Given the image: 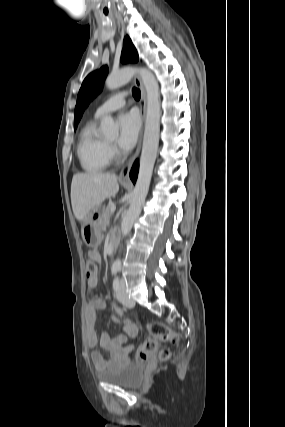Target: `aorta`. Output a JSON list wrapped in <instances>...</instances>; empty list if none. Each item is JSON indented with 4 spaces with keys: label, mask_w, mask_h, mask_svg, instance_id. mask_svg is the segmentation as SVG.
<instances>
[{
    "label": "aorta",
    "mask_w": 285,
    "mask_h": 427,
    "mask_svg": "<svg viewBox=\"0 0 285 427\" xmlns=\"http://www.w3.org/2000/svg\"><path fill=\"white\" fill-rule=\"evenodd\" d=\"M136 73L141 76L146 89L147 111L138 178L133 190L129 209L121 223V232L123 236H127L131 231L135 220L141 213L142 206L148 194L159 145L161 115L160 92L155 76L151 71L145 68H123L116 73H111L105 81L107 88L109 90H114L127 84ZM101 132L108 138H114L118 134V125L114 122L112 117H105L101 121ZM113 267H121V260L119 258L114 261Z\"/></svg>",
    "instance_id": "1"
}]
</instances>
